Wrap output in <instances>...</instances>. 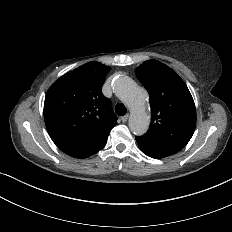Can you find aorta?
<instances>
[{"instance_id": "obj_1", "label": "aorta", "mask_w": 232, "mask_h": 232, "mask_svg": "<svg viewBox=\"0 0 232 232\" xmlns=\"http://www.w3.org/2000/svg\"><path fill=\"white\" fill-rule=\"evenodd\" d=\"M112 89L130 108L129 127L135 135H143L149 128L150 117L146 111L148 94L131 78L122 76L112 82Z\"/></svg>"}]
</instances>
